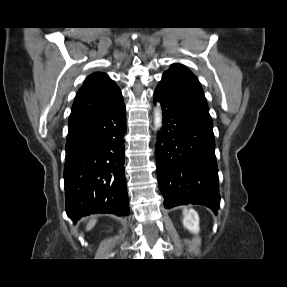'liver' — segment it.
<instances>
[{
	"mask_svg": "<svg viewBox=\"0 0 287 287\" xmlns=\"http://www.w3.org/2000/svg\"><path fill=\"white\" fill-rule=\"evenodd\" d=\"M95 224H96V219L91 218L89 222L87 223L86 230H91L95 226Z\"/></svg>",
	"mask_w": 287,
	"mask_h": 287,
	"instance_id": "liver-1",
	"label": "liver"
}]
</instances>
